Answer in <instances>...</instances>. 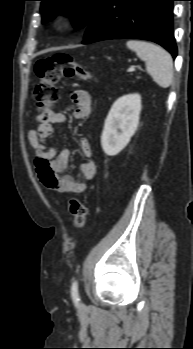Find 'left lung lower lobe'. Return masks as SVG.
Segmentation results:
<instances>
[{
    "mask_svg": "<svg viewBox=\"0 0 193 349\" xmlns=\"http://www.w3.org/2000/svg\"><path fill=\"white\" fill-rule=\"evenodd\" d=\"M175 0H106L87 27L83 44L108 39H145L158 43L173 56L172 11Z\"/></svg>",
    "mask_w": 193,
    "mask_h": 349,
    "instance_id": "0a47b994",
    "label": "left lung lower lobe"
}]
</instances>
